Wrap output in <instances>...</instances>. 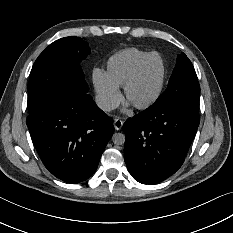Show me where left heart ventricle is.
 Wrapping results in <instances>:
<instances>
[{"label": "left heart ventricle", "instance_id": "obj_1", "mask_svg": "<svg viewBox=\"0 0 233 233\" xmlns=\"http://www.w3.org/2000/svg\"><path fill=\"white\" fill-rule=\"evenodd\" d=\"M164 76V62L159 56L153 57L131 86L128 96L132 104H145L157 94Z\"/></svg>", "mask_w": 233, "mask_h": 233}]
</instances>
